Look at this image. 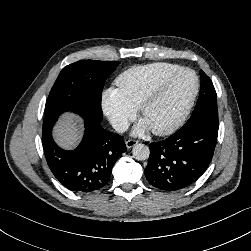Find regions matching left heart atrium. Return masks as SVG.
<instances>
[{"label": "left heart atrium", "mask_w": 251, "mask_h": 251, "mask_svg": "<svg viewBox=\"0 0 251 251\" xmlns=\"http://www.w3.org/2000/svg\"><path fill=\"white\" fill-rule=\"evenodd\" d=\"M150 130V127L146 124V122L142 119L137 126L134 128V134L142 135L145 132Z\"/></svg>", "instance_id": "1"}]
</instances>
